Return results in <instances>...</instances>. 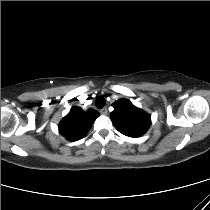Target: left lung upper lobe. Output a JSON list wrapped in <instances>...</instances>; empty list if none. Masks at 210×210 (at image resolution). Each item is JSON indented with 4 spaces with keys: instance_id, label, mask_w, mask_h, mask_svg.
I'll return each instance as SVG.
<instances>
[{
    "instance_id": "5c2ea615",
    "label": "left lung upper lobe",
    "mask_w": 210,
    "mask_h": 210,
    "mask_svg": "<svg viewBox=\"0 0 210 210\" xmlns=\"http://www.w3.org/2000/svg\"><path fill=\"white\" fill-rule=\"evenodd\" d=\"M111 119L116 129L129 137L143 135L151 124L150 116L134 106L129 100L121 99L113 104Z\"/></svg>"
}]
</instances>
